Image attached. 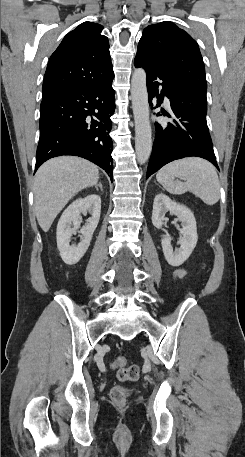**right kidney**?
Wrapping results in <instances>:
<instances>
[{
    "label": "right kidney",
    "mask_w": 245,
    "mask_h": 457,
    "mask_svg": "<svg viewBox=\"0 0 245 457\" xmlns=\"http://www.w3.org/2000/svg\"><path fill=\"white\" fill-rule=\"evenodd\" d=\"M82 214H87L90 212L92 216L87 218L86 224L82 226L81 235L83 239L78 245H70L72 235L77 233L79 229L80 222H82ZM101 212V198L98 194H88L85 198H77L73 200L66 210H64L62 216H60L57 224V247L59 251H64L69 257L70 265H75L83 255H85L92 235L96 229V226L99 222Z\"/></svg>",
    "instance_id": "1"
}]
</instances>
